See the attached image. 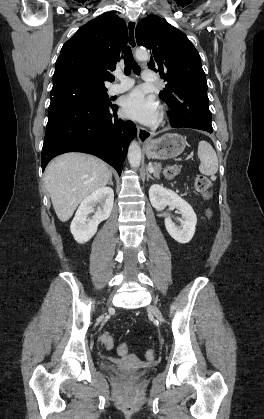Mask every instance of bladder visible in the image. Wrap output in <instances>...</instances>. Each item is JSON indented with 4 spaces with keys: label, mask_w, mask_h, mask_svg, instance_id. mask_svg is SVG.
<instances>
[{
    "label": "bladder",
    "mask_w": 264,
    "mask_h": 419,
    "mask_svg": "<svg viewBox=\"0 0 264 419\" xmlns=\"http://www.w3.org/2000/svg\"><path fill=\"white\" fill-rule=\"evenodd\" d=\"M101 367H102L103 370H105L109 373L115 374V375L121 377L122 379H124L126 381H130V382L139 380L147 374L146 371L127 370V369L120 368L116 365H113V364H110V363H107V362H103L101 364Z\"/></svg>",
    "instance_id": "bladder-1"
}]
</instances>
